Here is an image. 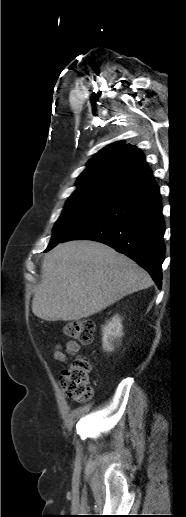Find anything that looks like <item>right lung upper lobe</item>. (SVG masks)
<instances>
[{
  "label": "right lung upper lobe",
  "mask_w": 186,
  "mask_h": 517,
  "mask_svg": "<svg viewBox=\"0 0 186 517\" xmlns=\"http://www.w3.org/2000/svg\"><path fill=\"white\" fill-rule=\"evenodd\" d=\"M155 181L139 149L124 141L114 142L94 156L70 197H96L118 201Z\"/></svg>",
  "instance_id": "1"
}]
</instances>
